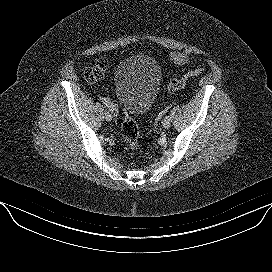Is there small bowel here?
Returning a JSON list of instances; mask_svg holds the SVG:
<instances>
[{
	"instance_id": "1",
	"label": "small bowel",
	"mask_w": 272,
	"mask_h": 272,
	"mask_svg": "<svg viewBox=\"0 0 272 272\" xmlns=\"http://www.w3.org/2000/svg\"><path fill=\"white\" fill-rule=\"evenodd\" d=\"M170 59L178 64V65H185L189 62V56L187 54L184 53H178V52H174L170 55Z\"/></svg>"
}]
</instances>
